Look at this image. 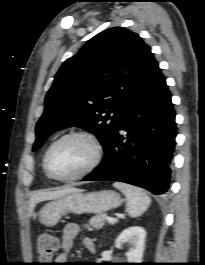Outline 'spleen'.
I'll use <instances>...</instances> for the list:
<instances>
[{"instance_id":"1","label":"spleen","mask_w":205,"mask_h":265,"mask_svg":"<svg viewBox=\"0 0 205 265\" xmlns=\"http://www.w3.org/2000/svg\"><path fill=\"white\" fill-rule=\"evenodd\" d=\"M113 186L126 196V210L131 217L140 216L149 207L151 199L141 188L121 182H115Z\"/></svg>"}]
</instances>
